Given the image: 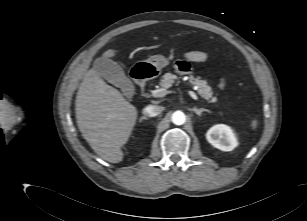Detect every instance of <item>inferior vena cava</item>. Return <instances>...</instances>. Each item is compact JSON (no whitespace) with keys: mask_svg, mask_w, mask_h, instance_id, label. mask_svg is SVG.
Masks as SVG:
<instances>
[{"mask_svg":"<svg viewBox=\"0 0 307 221\" xmlns=\"http://www.w3.org/2000/svg\"><path fill=\"white\" fill-rule=\"evenodd\" d=\"M163 108L157 105H148L143 109V114L149 117H155L162 112Z\"/></svg>","mask_w":307,"mask_h":221,"instance_id":"obj_1","label":"inferior vena cava"}]
</instances>
